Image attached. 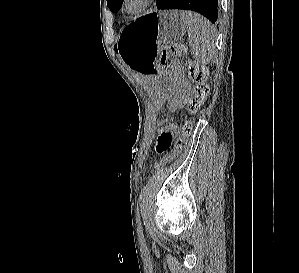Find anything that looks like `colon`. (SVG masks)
Returning a JSON list of instances; mask_svg holds the SVG:
<instances>
[{"label": "colon", "instance_id": "colon-1", "mask_svg": "<svg viewBox=\"0 0 299 273\" xmlns=\"http://www.w3.org/2000/svg\"><path fill=\"white\" fill-rule=\"evenodd\" d=\"M183 52L184 48L179 43L164 45L162 48L161 64L170 63L171 71L177 82L175 95L167 107L169 113L176 112L185 102H187L189 110L195 112L203 104L208 95V86L205 83L206 70L201 64L193 61L187 64L189 79L194 82V86L190 87L189 80L181 64L175 59V57L180 56ZM192 130V122H185L183 124L181 135L174 140L172 151L154 166L155 171L178 157L180 152L185 148Z\"/></svg>", "mask_w": 299, "mask_h": 273}]
</instances>
